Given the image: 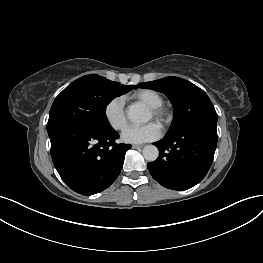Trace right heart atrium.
Masks as SVG:
<instances>
[{
  "label": "right heart atrium",
  "mask_w": 263,
  "mask_h": 263,
  "mask_svg": "<svg viewBox=\"0 0 263 263\" xmlns=\"http://www.w3.org/2000/svg\"><path fill=\"white\" fill-rule=\"evenodd\" d=\"M104 116L114 130H123L127 125L124 96H116L110 99L104 107Z\"/></svg>",
  "instance_id": "obj_1"
}]
</instances>
